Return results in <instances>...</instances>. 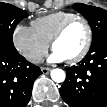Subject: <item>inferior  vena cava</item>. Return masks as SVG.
<instances>
[{
  "label": "inferior vena cava",
  "instance_id": "obj_1",
  "mask_svg": "<svg viewBox=\"0 0 107 107\" xmlns=\"http://www.w3.org/2000/svg\"><path fill=\"white\" fill-rule=\"evenodd\" d=\"M28 60L32 63L38 64L43 62V57L41 55H32Z\"/></svg>",
  "mask_w": 107,
  "mask_h": 107
}]
</instances>
